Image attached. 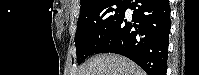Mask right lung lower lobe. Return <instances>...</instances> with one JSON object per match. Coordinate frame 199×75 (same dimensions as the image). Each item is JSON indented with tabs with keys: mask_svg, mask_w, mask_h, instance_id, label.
Segmentation results:
<instances>
[{
	"mask_svg": "<svg viewBox=\"0 0 199 75\" xmlns=\"http://www.w3.org/2000/svg\"><path fill=\"white\" fill-rule=\"evenodd\" d=\"M127 9L133 10L131 21ZM170 27L168 0H127L120 21L94 54H121L148 75H166Z\"/></svg>",
	"mask_w": 199,
	"mask_h": 75,
	"instance_id": "98d812e1",
	"label": "right lung lower lobe"
}]
</instances>
